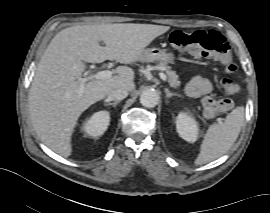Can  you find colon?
<instances>
[{
	"instance_id": "colon-1",
	"label": "colon",
	"mask_w": 270,
	"mask_h": 213,
	"mask_svg": "<svg viewBox=\"0 0 270 213\" xmlns=\"http://www.w3.org/2000/svg\"><path fill=\"white\" fill-rule=\"evenodd\" d=\"M170 43L176 50L192 57L216 60L229 74H233L237 70L232 61L230 46L217 31L199 30L192 33L175 31L170 36ZM220 86L225 95L223 98L206 96L202 100L204 111L209 115H220L226 112L232 105L230 97L240 92V85L231 78L222 79Z\"/></svg>"
}]
</instances>
